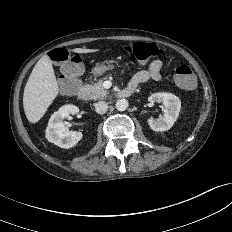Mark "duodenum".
Wrapping results in <instances>:
<instances>
[{
    "instance_id": "1",
    "label": "duodenum",
    "mask_w": 232,
    "mask_h": 232,
    "mask_svg": "<svg viewBox=\"0 0 232 232\" xmlns=\"http://www.w3.org/2000/svg\"><path fill=\"white\" fill-rule=\"evenodd\" d=\"M133 93V89L131 87H127L117 93V97L125 98L129 97ZM76 95L80 100H85L87 98V90L85 85L81 84L76 91Z\"/></svg>"
}]
</instances>
